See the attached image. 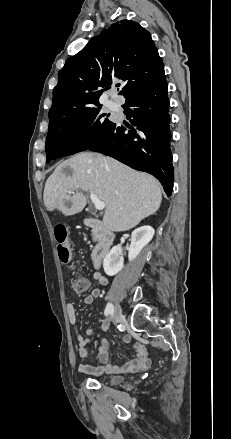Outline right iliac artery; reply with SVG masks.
<instances>
[{"mask_svg":"<svg viewBox=\"0 0 231 439\" xmlns=\"http://www.w3.org/2000/svg\"><path fill=\"white\" fill-rule=\"evenodd\" d=\"M113 309H114L113 304L108 303L104 311L105 316H109L113 312Z\"/></svg>","mask_w":231,"mask_h":439,"instance_id":"obj_1","label":"right iliac artery"}]
</instances>
